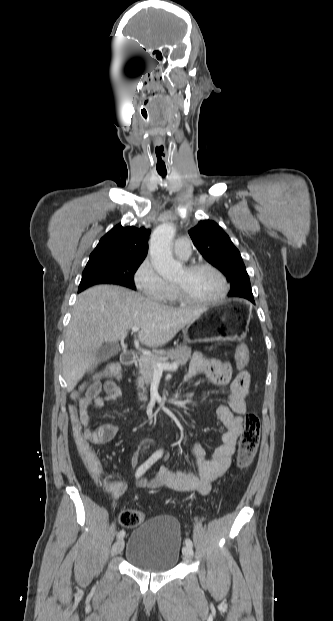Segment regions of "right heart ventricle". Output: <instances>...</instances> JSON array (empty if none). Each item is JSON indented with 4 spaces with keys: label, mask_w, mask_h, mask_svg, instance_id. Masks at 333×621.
<instances>
[{
    "label": "right heart ventricle",
    "mask_w": 333,
    "mask_h": 621,
    "mask_svg": "<svg viewBox=\"0 0 333 621\" xmlns=\"http://www.w3.org/2000/svg\"><path fill=\"white\" fill-rule=\"evenodd\" d=\"M162 301H164L165 303H168V304H175V303L179 302L178 298L176 297V295L174 293L172 285H170V287L168 289V292L166 293V295H165V297H164V299Z\"/></svg>",
    "instance_id": "1"
}]
</instances>
